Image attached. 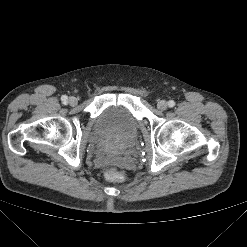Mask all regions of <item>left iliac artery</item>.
I'll return each mask as SVG.
<instances>
[{"instance_id":"44dca946","label":"left iliac artery","mask_w":247,"mask_h":247,"mask_svg":"<svg viewBox=\"0 0 247 247\" xmlns=\"http://www.w3.org/2000/svg\"><path fill=\"white\" fill-rule=\"evenodd\" d=\"M168 105H169V107H174L175 106V102L173 100H170L168 102Z\"/></svg>"}]
</instances>
